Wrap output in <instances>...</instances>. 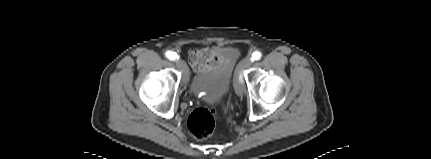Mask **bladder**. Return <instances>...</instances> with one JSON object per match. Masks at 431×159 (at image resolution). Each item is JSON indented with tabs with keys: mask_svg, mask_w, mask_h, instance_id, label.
<instances>
[{
	"mask_svg": "<svg viewBox=\"0 0 431 159\" xmlns=\"http://www.w3.org/2000/svg\"><path fill=\"white\" fill-rule=\"evenodd\" d=\"M222 53L224 61L221 66L206 73H197L191 79V91L207 104H214L225 98L232 86V75L239 51L230 47L222 49Z\"/></svg>",
	"mask_w": 431,
	"mask_h": 159,
	"instance_id": "31cf9c89",
	"label": "bladder"
}]
</instances>
